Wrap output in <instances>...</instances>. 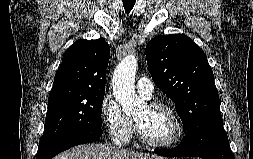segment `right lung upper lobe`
Masks as SVG:
<instances>
[{"mask_svg": "<svg viewBox=\"0 0 253 159\" xmlns=\"http://www.w3.org/2000/svg\"><path fill=\"white\" fill-rule=\"evenodd\" d=\"M110 47L103 39L78 40L64 53L50 97L105 91Z\"/></svg>", "mask_w": 253, "mask_h": 159, "instance_id": "obj_1", "label": "right lung upper lobe"}]
</instances>
